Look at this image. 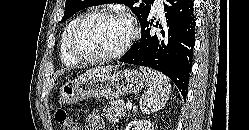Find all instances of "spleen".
I'll use <instances>...</instances> for the list:
<instances>
[{"mask_svg":"<svg viewBox=\"0 0 249 130\" xmlns=\"http://www.w3.org/2000/svg\"><path fill=\"white\" fill-rule=\"evenodd\" d=\"M147 82V90L140 98V109L145 114L157 112L168 101L171 84L162 73L145 67H140Z\"/></svg>","mask_w":249,"mask_h":130,"instance_id":"obj_1","label":"spleen"}]
</instances>
